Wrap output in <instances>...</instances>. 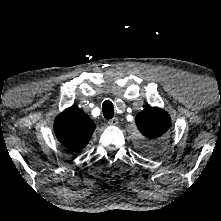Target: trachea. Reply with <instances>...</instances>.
<instances>
[{"mask_svg": "<svg viewBox=\"0 0 221 221\" xmlns=\"http://www.w3.org/2000/svg\"><path fill=\"white\" fill-rule=\"evenodd\" d=\"M103 115L106 119H111L114 116V106L109 100L103 103Z\"/></svg>", "mask_w": 221, "mask_h": 221, "instance_id": "1", "label": "trachea"}]
</instances>
